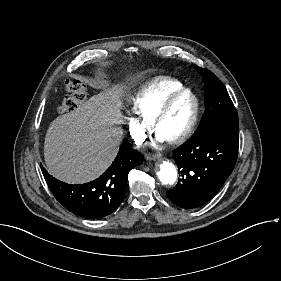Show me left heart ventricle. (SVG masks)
Wrapping results in <instances>:
<instances>
[{
  "label": "left heart ventricle",
  "instance_id": "obj_1",
  "mask_svg": "<svg viewBox=\"0 0 281 281\" xmlns=\"http://www.w3.org/2000/svg\"><path fill=\"white\" fill-rule=\"evenodd\" d=\"M193 108L194 100L191 96L184 95L177 99L158 123L156 134L164 140L176 136L186 126Z\"/></svg>",
  "mask_w": 281,
  "mask_h": 281
}]
</instances>
